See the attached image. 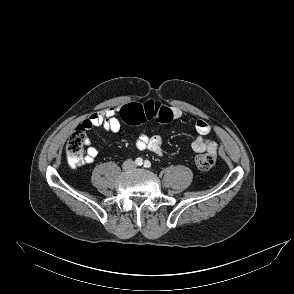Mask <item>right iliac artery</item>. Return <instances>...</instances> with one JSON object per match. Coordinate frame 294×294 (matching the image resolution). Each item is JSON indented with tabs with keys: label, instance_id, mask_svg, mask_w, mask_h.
<instances>
[{
	"label": "right iliac artery",
	"instance_id": "right-iliac-artery-1",
	"mask_svg": "<svg viewBox=\"0 0 294 294\" xmlns=\"http://www.w3.org/2000/svg\"><path fill=\"white\" fill-rule=\"evenodd\" d=\"M135 163L137 164V165H139V166H141L142 164H143V160H142V158H137L136 160H135Z\"/></svg>",
	"mask_w": 294,
	"mask_h": 294
}]
</instances>
